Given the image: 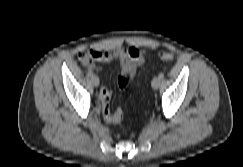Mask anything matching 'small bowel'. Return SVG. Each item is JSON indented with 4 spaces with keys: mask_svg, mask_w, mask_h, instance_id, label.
Masks as SVG:
<instances>
[{
    "mask_svg": "<svg viewBox=\"0 0 243 167\" xmlns=\"http://www.w3.org/2000/svg\"><path fill=\"white\" fill-rule=\"evenodd\" d=\"M146 56L145 50L130 46L116 48L111 50L92 49L79 53V60L89 71L98 70L96 62L109 63L115 60L120 61L121 73L129 72L134 76L139 66L144 63ZM112 91L107 87H102L99 92L102 115L107 123L119 122L122 118V112L117 109L115 112L110 110V100Z\"/></svg>",
    "mask_w": 243,
    "mask_h": 167,
    "instance_id": "c3829d8e",
    "label": "small bowel"
}]
</instances>
